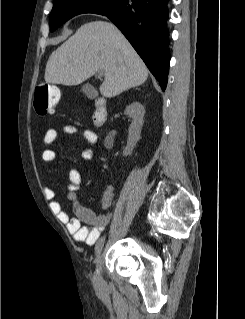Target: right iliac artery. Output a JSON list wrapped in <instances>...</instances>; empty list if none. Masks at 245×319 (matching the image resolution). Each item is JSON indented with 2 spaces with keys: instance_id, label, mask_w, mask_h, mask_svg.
Segmentation results:
<instances>
[{
  "instance_id": "obj_1",
  "label": "right iliac artery",
  "mask_w": 245,
  "mask_h": 319,
  "mask_svg": "<svg viewBox=\"0 0 245 319\" xmlns=\"http://www.w3.org/2000/svg\"><path fill=\"white\" fill-rule=\"evenodd\" d=\"M102 247H103V246H102L101 244H98V245H96V247H95V253H96V257H97V258H98V256H99L101 250H102ZM99 282H100V280H99L98 276L95 275V276H94V283H95V285L97 286V285L99 284Z\"/></svg>"
}]
</instances>
